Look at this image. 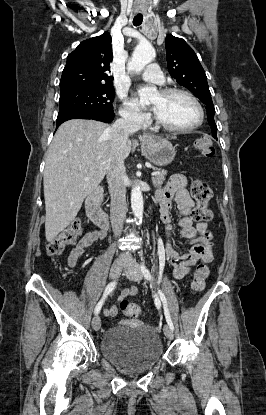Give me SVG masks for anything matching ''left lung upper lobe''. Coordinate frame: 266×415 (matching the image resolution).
<instances>
[{"label":"left lung upper lobe","instance_id":"obj_1","mask_svg":"<svg viewBox=\"0 0 266 415\" xmlns=\"http://www.w3.org/2000/svg\"><path fill=\"white\" fill-rule=\"evenodd\" d=\"M166 57L171 76L206 105L212 136L217 139V126L214 121L215 109L205 71L196 53L184 39L168 35L166 37Z\"/></svg>","mask_w":266,"mask_h":415}]
</instances>
